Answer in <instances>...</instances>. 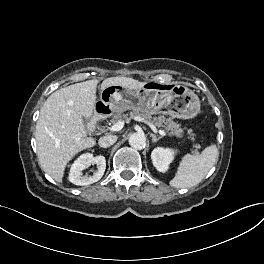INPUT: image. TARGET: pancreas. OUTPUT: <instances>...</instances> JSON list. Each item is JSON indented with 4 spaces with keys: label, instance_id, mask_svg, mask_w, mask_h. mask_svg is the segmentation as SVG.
<instances>
[{
    "label": "pancreas",
    "instance_id": "1",
    "mask_svg": "<svg viewBox=\"0 0 264 264\" xmlns=\"http://www.w3.org/2000/svg\"><path fill=\"white\" fill-rule=\"evenodd\" d=\"M134 117H140L154 126L162 127L170 135L176 136L177 138H181L184 134V130L181 128L180 124L174 122L171 118L167 119L162 115L158 117H152L151 115L140 113L138 111H133L128 114H117L110 120L109 124H115L118 121L129 122L130 119H133ZM188 134L190 135L189 138L194 141V134L190 131L188 132ZM193 147L195 149H192V153H194L195 155L198 154L199 145L194 144Z\"/></svg>",
    "mask_w": 264,
    "mask_h": 264
}]
</instances>
